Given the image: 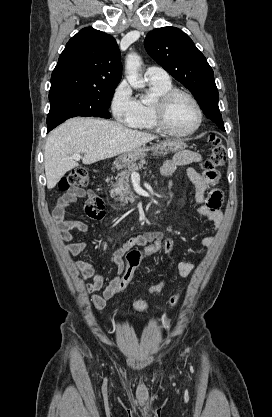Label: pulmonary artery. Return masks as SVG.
<instances>
[{
    "instance_id": "obj_1",
    "label": "pulmonary artery",
    "mask_w": 272,
    "mask_h": 417,
    "mask_svg": "<svg viewBox=\"0 0 272 417\" xmlns=\"http://www.w3.org/2000/svg\"><path fill=\"white\" fill-rule=\"evenodd\" d=\"M145 77L147 80L156 83H167L170 81L168 73L158 66L148 67L145 72Z\"/></svg>"
}]
</instances>
